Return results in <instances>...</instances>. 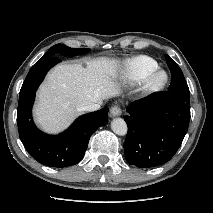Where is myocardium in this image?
<instances>
[{
	"instance_id": "1",
	"label": "myocardium",
	"mask_w": 213,
	"mask_h": 213,
	"mask_svg": "<svg viewBox=\"0 0 213 213\" xmlns=\"http://www.w3.org/2000/svg\"><path fill=\"white\" fill-rule=\"evenodd\" d=\"M168 83V74L164 70H156L148 76L143 85L142 92L144 95H151L160 92Z\"/></svg>"
}]
</instances>
